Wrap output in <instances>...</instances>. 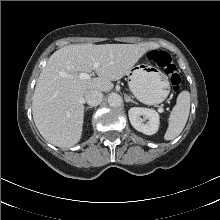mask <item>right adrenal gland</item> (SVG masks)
<instances>
[{
	"instance_id": "right-adrenal-gland-1",
	"label": "right adrenal gland",
	"mask_w": 220,
	"mask_h": 220,
	"mask_svg": "<svg viewBox=\"0 0 220 220\" xmlns=\"http://www.w3.org/2000/svg\"><path fill=\"white\" fill-rule=\"evenodd\" d=\"M92 108H93L92 106L86 107L85 110L87 111V110L92 109Z\"/></svg>"
}]
</instances>
